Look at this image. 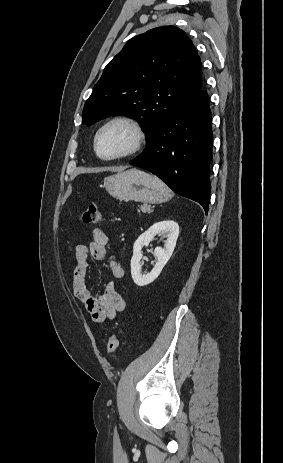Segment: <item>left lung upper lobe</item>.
Wrapping results in <instances>:
<instances>
[{
  "instance_id": "obj_1",
  "label": "left lung upper lobe",
  "mask_w": 283,
  "mask_h": 463,
  "mask_svg": "<svg viewBox=\"0 0 283 463\" xmlns=\"http://www.w3.org/2000/svg\"><path fill=\"white\" fill-rule=\"evenodd\" d=\"M201 61L184 31L151 29L130 39L106 65L85 103L82 123L135 117L147 141L158 126L202 87Z\"/></svg>"
}]
</instances>
